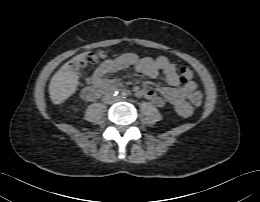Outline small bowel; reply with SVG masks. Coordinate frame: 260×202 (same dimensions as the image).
Listing matches in <instances>:
<instances>
[{
  "label": "small bowel",
  "instance_id": "obj_1",
  "mask_svg": "<svg viewBox=\"0 0 260 202\" xmlns=\"http://www.w3.org/2000/svg\"><path fill=\"white\" fill-rule=\"evenodd\" d=\"M133 66L140 74L150 79L162 74L167 82V86L157 89L137 85L133 89L137 96L150 100L158 107H163L168 102L174 106L180 116L185 118L192 114V108L185 98L197 88V85L194 81L181 85L176 66L166 56L140 58L131 53L118 55L104 61L90 78L89 84L96 86L99 83H114L117 78H106V76Z\"/></svg>",
  "mask_w": 260,
  "mask_h": 202
}]
</instances>
